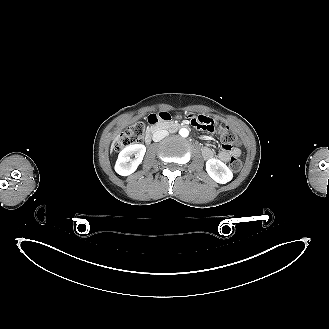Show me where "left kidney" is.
Masks as SVG:
<instances>
[{
  "label": "left kidney",
  "instance_id": "1",
  "mask_svg": "<svg viewBox=\"0 0 329 329\" xmlns=\"http://www.w3.org/2000/svg\"><path fill=\"white\" fill-rule=\"evenodd\" d=\"M208 175L217 183L225 184L232 180V171L222 161L212 158L206 162Z\"/></svg>",
  "mask_w": 329,
  "mask_h": 329
}]
</instances>
